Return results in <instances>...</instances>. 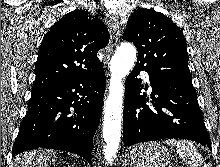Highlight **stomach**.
I'll list each match as a JSON object with an SVG mask.
<instances>
[{"label":"stomach","mask_w":220,"mask_h":167,"mask_svg":"<svg viewBox=\"0 0 220 167\" xmlns=\"http://www.w3.org/2000/svg\"><path fill=\"white\" fill-rule=\"evenodd\" d=\"M128 161L132 167H168L171 154L165 146L149 142L134 146L128 154Z\"/></svg>","instance_id":"obj_1"}]
</instances>
